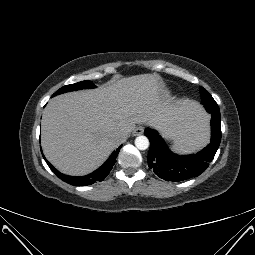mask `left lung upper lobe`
Returning <instances> with one entry per match:
<instances>
[{"instance_id": "left-lung-upper-lobe-1", "label": "left lung upper lobe", "mask_w": 255, "mask_h": 255, "mask_svg": "<svg viewBox=\"0 0 255 255\" xmlns=\"http://www.w3.org/2000/svg\"><path fill=\"white\" fill-rule=\"evenodd\" d=\"M200 93H201L202 103L206 102L207 100H210L213 102V105H214L213 109L219 110V107H218L217 103L215 102V100L203 87H200Z\"/></svg>"}]
</instances>
